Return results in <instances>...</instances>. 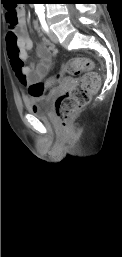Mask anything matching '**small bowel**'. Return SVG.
<instances>
[{
  "label": "small bowel",
  "instance_id": "1",
  "mask_svg": "<svg viewBox=\"0 0 122 257\" xmlns=\"http://www.w3.org/2000/svg\"><path fill=\"white\" fill-rule=\"evenodd\" d=\"M34 27L39 30L38 22H34ZM6 47L7 60L12 64V73H15L19 82L26 86H28V83L44 79L53 67L51 52L54 51V47H46L43 44L38 47V54L41 58L38 65L26 66L28 52L32 49L33 42L28 35L23 8L19 9L17 23L14 26L9 25L6 34Z\"/></svg>",
  "mask_w": 122,
  "mask_h": 257
}]
</instances>
